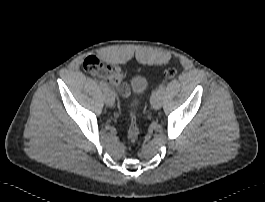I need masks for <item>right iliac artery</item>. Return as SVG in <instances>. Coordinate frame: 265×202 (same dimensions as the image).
<instances>
[{
  "label": "right iliac artery",
  "instance_id": "obj_1",
  "mask_svg": "<svg viewBox=\"0 0 265 202\" xmlns=\"http://www.w3.org/2000/svg\"><path fill=\"white\" fill-rule=\"evenodd\" d=\"M99 85H100V87H101V89H102L103 91H105V90L108 89L107 84H106L105 82H103V81H101V82L99 83Z\"/></svg>",
  "mask_w": 265,
  "mask_h": 202
}]
</instances>
